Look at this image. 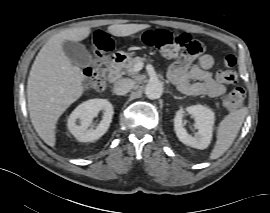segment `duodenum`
I'll use <instances>...</instances> for the list:
<instances>
[{"label":"duodenum","mask_w":270,"mask_h":213,"mask_svg":"<svg viewBox=\"0 0 270 213\" xmlns=\"http://www.w3.org/2000/svg\"><path fill=\"white\" fill-rule=\"evenodd\" d=\"M125 56L121 53L112 54L109 58L108 78L111 82H116L120 76V66Z\"/></svg>","instance_id":"1"}]
</instances>
